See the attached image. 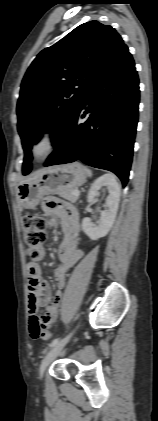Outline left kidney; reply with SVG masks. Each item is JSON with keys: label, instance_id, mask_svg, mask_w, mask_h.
<instances>
[{"label": "left kidney", "instance_id": "1", "mask_svg": "<svg viewBox=\"0 0 158 421\" xmlns=\"http://www.w3.org/2000/svg\"><path fill=\"white\" fill-rule=\"evenodd\" d=\"M106 187L108 189V197L105 202V210L101 212L100 221L94 226L90 218L82 220V229L91 240H98L108 234L116 218L119 201L120 186L113 175L105 174L98 178L91 186L88 193V202H95L99 191Z\"/></svg>", "mask_w": 158, "mask_h": 421}]
</instances>
